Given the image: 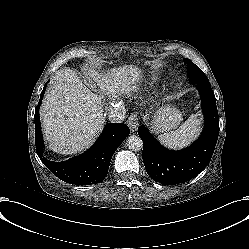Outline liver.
I'll list each match as a JSON object with an SVG mask.
<instances>
[{"instance_id":"obj_1","label":"liver","mask_w":249,"mask_h":249,"mask_svg":"<svg viewBox=\"0 0 249 249\" xmlns=\"http://www.w3.org/2000/svg\"><path fill=\"white\" fill-rule=\"evenodd\" d=\"M87 75L113 102L137 90L135 83L139 75L130 67L112 69L107 74L89 68ZM106 108L102 97L86 87L77 72H58L40 108L42 129L50 149L72 155L90 147L103 129Z\"/></svg>"}]
</instances>
